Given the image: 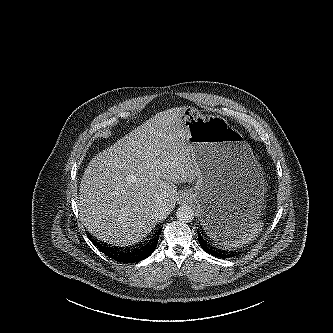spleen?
Returning <instances> with one entry per match:
<instances>
[{"instance_id": "spleen-1", "label": "spleen", "mask_w": 333, "mask_h": 333, "mask_svg": "<svg viewBox=\"0 0 333 333\" xmlns=\"http://www.w3.org/2000/svg\"><path fill=\"white\" fill-rule=\"evenodd\" d=\"M260 229V224H254L247 230H235L229 231L226 234V238H228L230 245L237 246L241 244L249 243L253 240V238L258 234Z\"/></svg>"}]
</instances>
